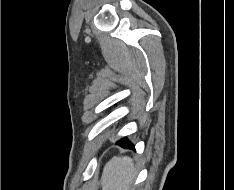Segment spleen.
I'll use <instances>...</instances> for the list:
<instances>
[{"instance_id":"obj_1","label":"spleen","mask_w":234,"mask_h":190,"mask_svg":"<svg viewBox=\"0 0 234 190\" xmlns=\"http://www.w3.org/2000/svg\"><path fill=\"white\" fill-rule=\"evenodd\" d=\"M136 177L131 158L113 157L104 167L102 190H128Z\"/></svg>"}]
</instances>
